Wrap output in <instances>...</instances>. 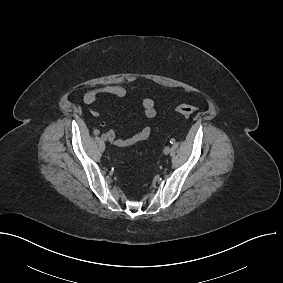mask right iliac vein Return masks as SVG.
I'll return each mask as SVG.
<instances>
[{
  "mask_svg": "<svg viewBox=\"0 0 283 283\" xmlns=\"http://www.w3.org/2000/svg\"><path fill=\"white\" fill-rule=\"evenodd\" d=\"M104 141H107V136L104 134V137L102 138Z\"/></svg>",
  "mask_w": 283,
  "mask_h": 283,
  "instance_id": "63e3f726",
  "label": "right iliac vein"
}]
</instances>
